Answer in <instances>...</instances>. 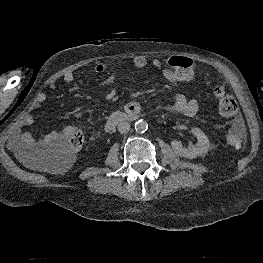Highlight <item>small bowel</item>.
<instances>
[{"instance_id":"c3829d8e","label":"small bowel","mask_w":263,"mask_h":263,"mask_svg":"<svg viewBox=\"0 0 263 263\" xmlns=\"http://www.w3.org/2000/svg\"><path fill=\"white\" fill-rule=\"evenodd\" d=\"M168 60H159L155 59L152 61V68L156 72V74L160 77H163L167 80L173 81L176 78L173 71L168 65ZM146 60L141 57H136L133 59L131 63V68L135 71H139L145 68ZM93 72L95 74H101L104 72V66L102 64H96L93 67ZM117 78L116 73L111 74L107 77L104 82V86L111 85L115 82ZM73 80V76L71 74L64 75L60 80V85L63 87H67L71 84ZM54 85H50L46 91L41 93L38 97V102L45 100L48 96L53 93ZM72 92L74 95L80 99L81 101L89 104L90 98L85 94V92L79 88L74 87L72 88ZM198 105L194 100H188L185 96V91L182 87H180L177 92L174 94L173 101L165 104L162 107V112L165 114L171 115H181V116H192L197 112ZM31 124V118L26 117L21 125H20V141L27 146L29 149L35 152H41L45 149L52 150L62 146L69 135L77 129L71 127H55L53 128L49 134L45 137L43 136H36L31 134L27 127ZM239 126V122H237Z\"/></svg>"}]
</instances>
